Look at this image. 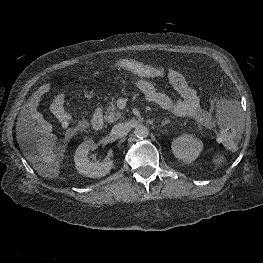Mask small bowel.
I'll list each match as a JSON object with an SVG mask.
<instances>
[{
  "mask_svg": "<svg viewBox=\"0 0 263 263\" xmlns=\"http://www.w3.org/2000/svg\"><path fill=\"white\" fill-rule=\"evenodd\" d=\"M166 77L179 95L178 100H173L170 96L160 91L154 83L147 80L144 76L137 81V87L144 94L149 102L156 103L161 108L169 110L177 116H187L194 119L201 127L212 129L215 125L210 110L205 109L201 104V98L198 92L190 87L185 78L175 69L166 68ZM50 90L48 83L43 84L32 96L26 106V112L32 114L44 94ZM57 100L61 107H64L63 95L58 94L52 102L54 111V103Z\"/></svg>",
  "mask_w": 263,
  "mask_h": 263,
  "instance_id": "1",
  "label": "small bowel"
}]
</instances>
